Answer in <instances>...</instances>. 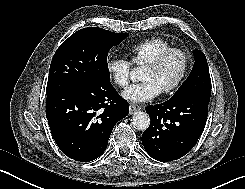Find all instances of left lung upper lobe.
<instances>
[{
  "instance_id": "5c2ea615",
  "label": "left lung upper lobe",
  "mask_w": 245,
  "mask_h": 189,
  "mask_svg": "<svg viewBox=\"0 0 245 189\" xmlns=\"http://www.w3.org/2000/svg\"><path fill=\"white\" fill-rule=\"evenodd\" d=\"M195 62L186 81L171 98L198 95L207 99L211 96V79L208 63L203 52L194 50Z\"/></svg>"
}]
</instances>
